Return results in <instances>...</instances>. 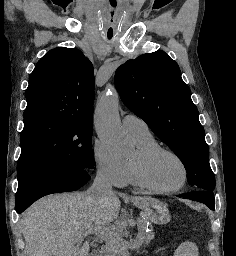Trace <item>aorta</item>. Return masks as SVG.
<instances>
[{
  "mask_svg": "<svg viewBox=\"0 0 236 256\" xmlns=\"http://www.w3.org/2000/svg\"><path fill=\"white\" fill-rule=\"evenodd\" d=\"M119 96L114 87L109 86L97 103L94 124L98 137L109 147L123 149L127 142L119 118Z\"/></svg>",
  "mask_w": 236,
  "mask_h": 256,
  "instance_id": "762f6f07",
  "label": "aorta"
}]
</instances>
